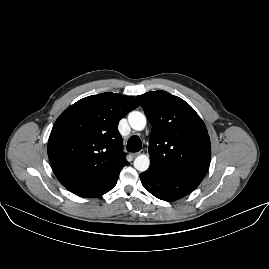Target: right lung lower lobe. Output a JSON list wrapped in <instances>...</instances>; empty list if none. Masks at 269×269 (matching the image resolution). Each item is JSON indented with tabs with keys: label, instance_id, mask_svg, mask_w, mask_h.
Instances as JSON below:
<instances>
[{
	"label": "right lung lower lobe",
	"instance_id": "1",
	"mask_svg": "<svg viewBox=\"0 0 269 269\" xmlns=\"http://www.w3.org/2000/svg\"><path fill=\"white\" fill-rule=\"evenodd\" d=\"M128 164L125 163L114 170L108 176L85 183H78L67 186L72 193L85 198L99 197L110 191L117 183L121 169Z\"/></svg>",
	"mask_w": 269,
	"mask_h": 269
}]
</instances>
